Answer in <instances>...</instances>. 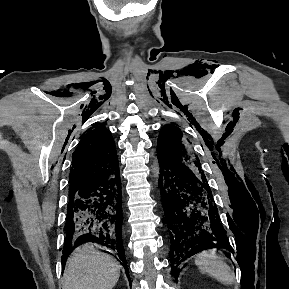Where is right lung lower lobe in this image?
<instances>
[{
	"mask_svg": "<svg viewBox=\"0 0 289 289\" xmlns=\"http://www.w3.org/2000/svg\"><path fill=\"white\" fill-rule=\"evenodd\" d=\"M122 220L119 172L104 175L81 189L69 191L63 268L67 256L76 246L92 242L110 250V254L119 259L130 280L122 241Z\"/></svg>",
	"mask_w": 289,
	"mask_h": 289,
	"instance_id": "98d812e1",
	"label": "right lung lower lobe"
}]
</instances>
